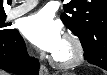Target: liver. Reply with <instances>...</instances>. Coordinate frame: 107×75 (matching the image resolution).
<instances>
[{"label":"liver","mask_w":107,"mask_h":75,"mask_svg":"<svg viewBox=\"0 0 107 75\" xmlns=\"http://www.w3.org/2000/svg\"><path fill=\"white\" fill-rule=\"evenodd\" d=\"M1 75H7L5 72L1 71Z\"/></svg>","instance_id":"6515ba94"}]
</instances>
